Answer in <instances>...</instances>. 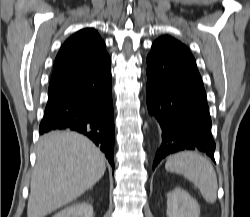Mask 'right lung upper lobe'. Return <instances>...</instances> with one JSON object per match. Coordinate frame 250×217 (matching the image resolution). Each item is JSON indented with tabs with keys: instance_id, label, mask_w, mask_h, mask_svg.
<instances>
[{
	"instance_id": "obj_1",
	"label": "right lung upper lobe",
	"mask_w": 250,
	"mask_h": 217,
	"mask_svg": "<svg viewBox=\"0 0 250 217\" xmlns=\"http://www.w3.org/2000/svg\"><path fill=\"white\" fill-rule=\"evenodd\" d=\"M108 58L105 43L97 31L86 28L76 32L57 54L49 89L90 73Z\"/></svg>"
}]
</instances>
